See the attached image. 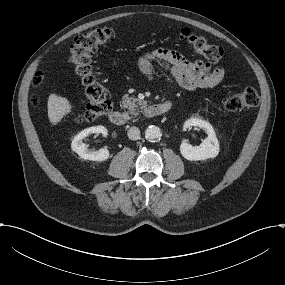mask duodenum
<instances>
[{"label":"duodenum","mask_w":285,"mask_h":285,"mask_svg":"<svg viewBox=\"0 0 285 285\" xmlns=\"http://www.w3.org/2000/svg\"><path fill=\"white\" fill-rule=\"evenodd\" d=\"M173 107V102L171 100L164 101L162 103H156L150 105L147 110L146 114L149 117H157L163 114L168 113ZM109 120L117 126H124L126 124V118L124 114L119 110L112 109L108 113Z\"/></svg>","instance_id":"obj_1"}]
</instances>
